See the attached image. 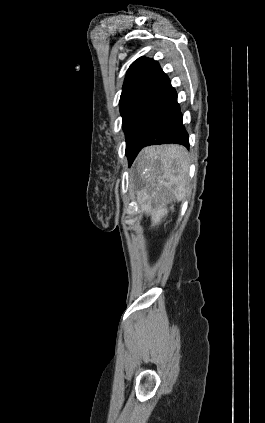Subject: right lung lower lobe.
<instances>
[{"label":"right lung lower lobe","mask_w":265,"mask_h":423,"mask_svg":"<svg viewBox=\"0 0 265 423\" xmlns=\"http://www.w3.org/2000/svg\"><path fill=\"white\" fill-rule=\"evenodd\" d=\"M125 136L129 166L145 146L177 143L189 148L177 94L167 76L146 96Z\"/></svg>","instance_id":"98d812e1"}]
</instances>
